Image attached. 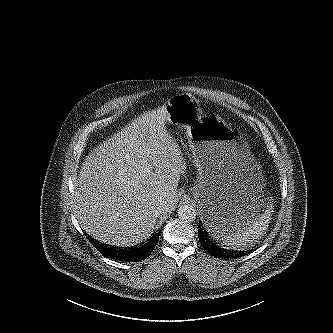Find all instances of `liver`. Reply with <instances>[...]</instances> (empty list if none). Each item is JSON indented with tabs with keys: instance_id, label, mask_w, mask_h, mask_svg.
Instances as JSON below:
<instances>
[{
	"instance_id": "6515ba94",
	"label": "liver",
	"mask_w": 333,
	"mask_h": 333,
	"mask_svg": "<svg viewBox=\"0 0 333 333\" xmlns=\"http://www.w3.org/2000/svg\"><path fill=\"white\" fill-rule=\"evenodd\" d=\"M166 106L129 123L90 153L74 191L75 216L105 244L131 247L154 231L158 200L171 211L186 163L165 127Z\"/></svg>"
}]
</instances>
